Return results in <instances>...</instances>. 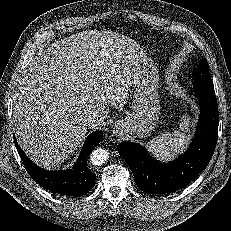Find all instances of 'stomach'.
I'll list each match as a JSON object with an SVG mask.
<instances>
[{
  "instance_id": "0dacf381",
  "label": "stomach",
  "mask_w": 231,
  "mask_h": 231,
  "mask_svg": "<svg viewBox=\"0 0 231 231\" xmlns=\"http://www.w3.org/2000/svg\"><path fill=\"white\" fill-rule=\"evenodd\" d=\"M158 84L157 67L151 59L143 56L132 68V111L117 122L118 129L140 139L150 135L160 114Z\"/></svg>"
}]
</instances>
